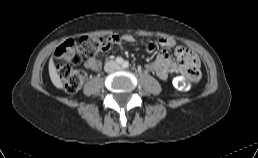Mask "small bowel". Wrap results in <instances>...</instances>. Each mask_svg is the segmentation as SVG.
I'll list each match as a JSON object with an SVG mask.
<instances>
[{
  "instance_id": "1",
  "label": "small bowel",
  "mask_w": 258,
  "mask_h": 158,
  "mask_svg": "<svg viewBox=\"0 0 258 158\" xmlns=\"http://www.w3.org/2000/svg\"><path fill=\"white\" fill-rule=\"evenodd\" d=\"M123 41L131 43L134 41L132 35H124ZM148 52L159 51L156 59L146 64L145 68L155 74L160 80H167L171 74H183L191 81L200 78V61L198 56L190 49L177 44L172 38H162L156 43L150 42L146 45ZM166 49H173L177 60H173L165 52ZM101 62L95 58H88L85 67L90 71H98Z\"/></svg>"
}]
</instances>
